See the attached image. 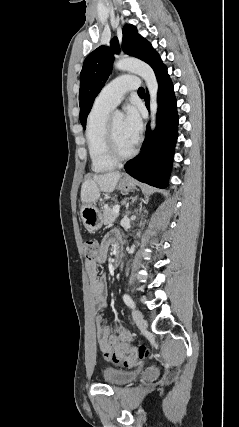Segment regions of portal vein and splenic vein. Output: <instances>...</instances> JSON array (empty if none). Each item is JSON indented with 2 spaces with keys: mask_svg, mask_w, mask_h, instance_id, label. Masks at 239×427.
Returning a JSON list of instances; mask_svg holds the SVG:
<instances>
[{
  "mask_svg": "<svg viewBox=\"0 0 239 427\" xmlns=\"http://www.w3.org/2000/svg\"><path fill=\"white\" fill-rule=\"evenodd\" d=\"M119 210H120V205H115V206L113 207V212H114V213H119Z\"/></svg>",
  "mask_w": 239,
  "mask_h": 427,
  "instance_id": "obj_1",
  "label": "portal vein and splenic vein"
}]
</instances>
